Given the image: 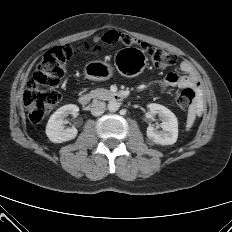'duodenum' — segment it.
<instances>
[{"label":"duodenum","instance_id":"410a0bca","mask_svg":"<svg viewBox=\"0 0 232 232\" xmlns=\"http://www.w3.org/2000/svg\"><path fill=\"white\" fill-rule=\"evenodd\" d=\"M108 98L112 101H122L126 96L122 92H110ZM91 96L88 93H83L78 97L79 104L85 106L90 102Z\"/></svg>","mask_w":232,"mask_h":232}]
</instances>
